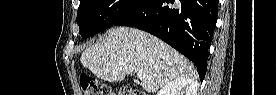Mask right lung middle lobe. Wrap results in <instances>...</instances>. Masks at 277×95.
<instances>
[{
	"label": "right lung middle lobe",
	"instance_id": "1",
	"mask_svg": "<svg viewBox=\"0 0 277 95\" xmlns=\"http://www.w3.org/2000/svg\"><path fill=\"white\" fill-rule=\"evenodd\" d=\"M143 0H81L77 12L79 33L88 38L115 25Z\"/></svg>",
	"mask_w": 277,
	"mask_h": 95
}]
</instances>
